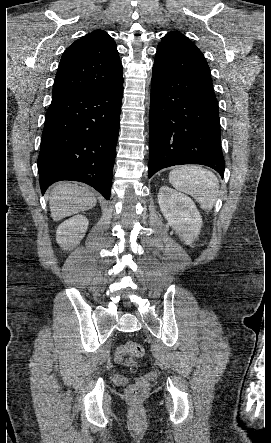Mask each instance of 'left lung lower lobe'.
Returning <instances> with one entry per match:
<instances>
[{
    "instance_id": "0a47b994",
    "label": "left lung lower lobe",
    "mask_w": 271,
    "mask_h": 443,
    "mask_svg": "<svg viewBox=\"0 0 271 443\" xmlns=\"http://www.w3.org/2000/svg\"><path fill=\"white\" fill-rule=\"evenodd\" d=\"M149 178L182 164H202L224 176L218 102L202 55L157 48L149 114Z\"/></svg>"
}]
</instances>
